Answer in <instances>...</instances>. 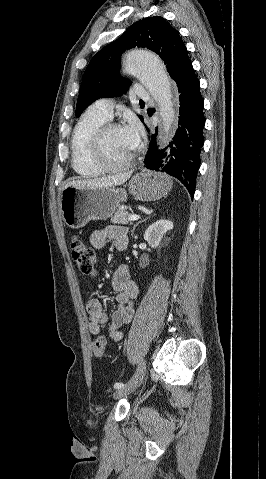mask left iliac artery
I'll use <instances>...</instances> for the list:
<instances>
[{
  "label": "left iliac artery",
  "instance_id": "obj_1",
  "mask_svg": "<svg viewBox=\"0 0 266 479\" xmlns=\"http://www.w3.org/2000/svg\"><path fill=\"white\" fill-rule=\"evenodd\" d=\"M124 386H125V385H124L123 383H121V382L114 384V388H115V389H120V388H123Z\"/></svg>",
  "mask_w": 266,
  "mask_h": 479
}]
</instances>
